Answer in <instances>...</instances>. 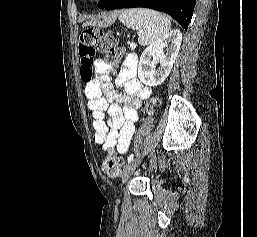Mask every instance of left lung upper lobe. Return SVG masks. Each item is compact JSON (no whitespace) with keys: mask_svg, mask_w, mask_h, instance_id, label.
<instances>
[{"mask_svg":"<svg viewBox=\"0 0 257 237\" xmlns=\"http://www.w3.org/2000/svg\"><path fill=\"white\" fill-rule=\"evenodd\" d=\"M108 1L109 0H100V2L98 3V7L103 8L107 4Z\"/></svg>","mask_w":257,"mask_h":237,"instance_id":"obj_1","label":"left lung upper lobe"}]
</instances>
